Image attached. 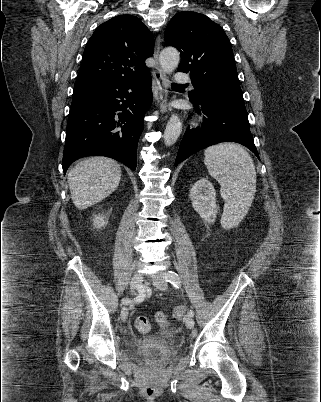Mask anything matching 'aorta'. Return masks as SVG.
Returning <instances> with one entry per match:
<instances>
[{
	"label": "aorta",
	"instance_id": "762f6f07",
	"mask_svg": "<svg viewBox=\"0 0 321 402\" xmlns=\"http://www.w3.org/2000/svg\"><path fill=\"white\" fill-rule=\"evenodd\" d=\"M180 53L176 48L167 47L159 56L160 66L164 73L171 74L178 66ZM182 131V123L177 115H172L164 131V143L166 146L173 145L179 138Z\"/></svg>",
	"mask_w": 321,
	"mask_h": 402
}]
</instances>
